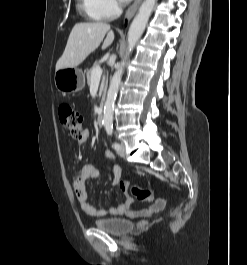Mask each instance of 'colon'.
Instances as JSON below:
<instances>
[{"label": "colon", "mask_w": 247, "mask_h": 265, "mask_svg": "<svg viewBox=\"0 0 247 265\" xmlns=\"http://www.w3.org/2000/svg\"><path fill=\"white\" fill-rule=\"evenodd\" d=\"M59 119L61 124L68 130L74 139H80L84 133L83 130V117L69 104H61L58 109ZM121 189L141 201H153V194L143 188L131 186L128 181H122Z\"/></svg>", "instance_id": "1"}]
</instances>
